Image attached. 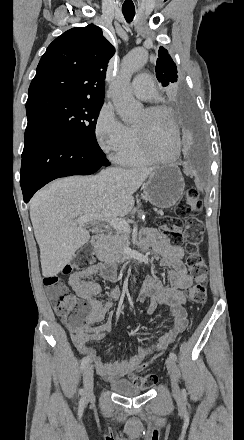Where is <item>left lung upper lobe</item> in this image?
Masks as SVG:
<instances>
[{"mask_svg":"<svg viewBox=\"0 0 244 440\" xmlns=\"http://www.w3.org/2000/svg\"><path fill=\"white\" fill-rule=\"evenodd\" d=\"M159 58L156 63V77L163 87H166L178 80L177 67L164 47L158 51Z\"/></svg>","mask_w":244,"mask_h":440,"instance_id":"5c2ea615","label":"left lung upper lobe"}]
</instances>
